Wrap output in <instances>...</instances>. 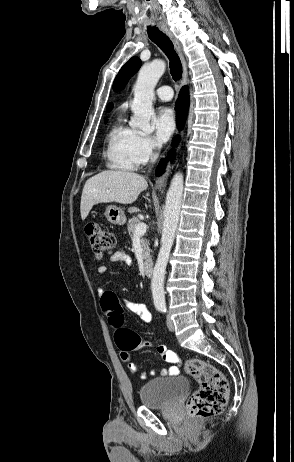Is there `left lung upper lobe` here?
Wrapping results in <instances>:
<instances>
[{
  "label": "left lung upper lobe",
  "instance_id": "1",
  "mask_svg": "<svg viewBox=\"0 0 294 462\" xmlns=\"http://www.w3.org/2000/svg\"><path fill=\"white\" fill-rule=\"evenodd\" d=\"M140 66V59L138 57H132L117 74L114 80L113 89L115 91L123 89L129 78L139 70Z\"/></svg>",
  "mask_w": 294,
  "mask_h": 462
}]
</instances>
